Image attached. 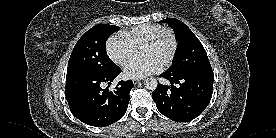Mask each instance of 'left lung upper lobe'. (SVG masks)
<instances>
[{
  "label": "left lung upper lobe",
  "mask_w": 276,
  "mask_h": 138,
  "mask_svg": "<svg viewBox=\"0 0 276 138\" xmlns=\"http://www.w3.org/2000/svg\"><path fill=\"white\" fill-rule=\"evenodd\" d=\"M163 21L173 28L179 42L173 65L167 71L179 76L213 72L203 45L189 27L174 18Z\"/></svg>",
  "instance_id": "1"
}]
</instances>
